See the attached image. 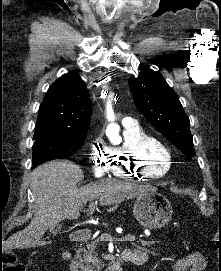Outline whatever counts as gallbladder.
<instances>
[{"label": "gallbladder", "mask_w": 221, "mask_h": 271, "mask_svg": "<svg viewBox=\"0 0 221 271\" xmlns=\"http://www.w3.org/2000/svg\"><path fill=\"white\" fill-rule=\"evenodd\" d=\"M62 225H59V223H57V225H51V227H49V233L48 235H51V233H58V231H60Z\"/></svg>", "instance_id": "gallbladder-1"}]
</instances>
